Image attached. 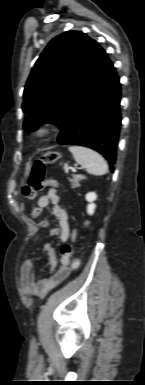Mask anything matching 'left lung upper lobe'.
I'll return each instance as SVG.
<instances>
[{"mask_svg": "<svg viewBox=\"0 0 145 385\" xmlns=\"http://www.w3.org/2000/svg\"><path fill=\"white\" fill-rule=\"evenodd\" d=\"M99 45L86 34L68 31L55 37L36 61L24 89V129L43 123L61 128L93 66Z\"/></svg>", "mask_w": 145, "mask_h": 385, "instance_id": "obj_1", "label": "left lung upper lobe"}]
</instances>
